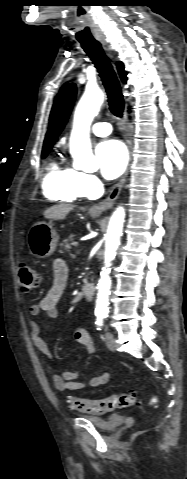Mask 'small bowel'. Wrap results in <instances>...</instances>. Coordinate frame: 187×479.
<instances>
[{
	"instance_id": "small-bowel-1",
	"label": "small bowel",
	"mask_w": 187,
	"mask_h": 479,
	"mask_svg": "<svg viewBox=\"0 0 187 479\" xmlns=\"http://www.w3.org/2000/svg\"><path fill=\"white\" fill-rule=\"evenodd\" d=\"M68 275L69 270L65 261L62 259H57L54 262L53 282L49 291L42 297L39 303L30 307L31 319L29 321V326L31 339L36 348L46 357L49 363H51V354L46 343L40 336V324L37 320V317L41 312H45L46 315L51 319L59 317V304L67 286ZM74 337L76 341L86 349L88 356H91L95 353V343L85 328L77 327L74 332ZM50 368H52L51 365ZM82 371L83 366H80L74 371L53 373L52 382L54 388L59 392H65L67 390L80 391L86 389L88 386L99 387L107 383L112 378V374L109 372H103L100 375L91 378L88 382L78 381L77 379L81 375Z\"/></svg>"
}]
</instances>
